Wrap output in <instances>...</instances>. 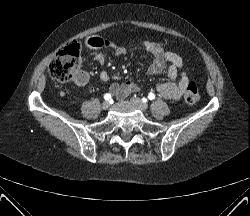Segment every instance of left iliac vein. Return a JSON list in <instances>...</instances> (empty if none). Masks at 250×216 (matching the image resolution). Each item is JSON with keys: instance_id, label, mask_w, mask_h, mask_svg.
I'll use <instances>...</instances> for the list:
<instances>
[{"instance_id": "obj_1", "label": "left iliac vein", "mask_w": 250, "mask_h": 216, "mask_svg": "<svg viewBox=\"0 0 250 216\" xmlns=\"http://www.w3.org/2000/svg\"><path fill=\"white\" fill-rule=\"evenodd\" d=\"M132 103L141 111H146L148 108V105L144 103L142 100L139 98L133 97L131 98Z\"/></svg>"}]
</instances>
